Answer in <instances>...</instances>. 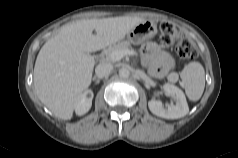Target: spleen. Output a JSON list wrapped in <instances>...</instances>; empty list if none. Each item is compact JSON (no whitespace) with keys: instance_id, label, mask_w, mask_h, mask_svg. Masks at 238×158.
Returning <instances> with one entry per match:
<instances>
[{"instance_id":"obj_1","label":"spleen","mask_w":238,"mask_h":158,"mask_svg":"<svg viewBox=\"0 0 238 158\" xmlns=\"http://www.w3.org/2000/svg\"><path fill=\"white\" fill-rule=\"evenodd\" d=\"M186 95L192 101H198L205 88V71L198 62H191L180 73Z\"/></svg>"}]
</instances>
